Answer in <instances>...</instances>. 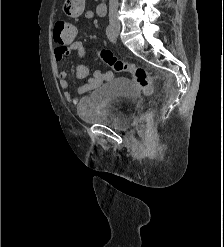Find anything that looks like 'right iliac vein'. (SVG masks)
Here are the masks:
<instances>
[{
  "label": "right iliac vein",
  "mask_w": 224,
  "mask_h": 247,
  "mask_svg": "<svg viewBox=\"0 0 224 247\" xmlns=\"http://www.w3.org/2000/svg\"><path fill=\"white\" fill-rule=\"evenodd\" d=\"M113 30L116 32V33H119L120 31V26L119 25H113Z\"/></svg>",
  "instance_id": "obj_1"
}]
</instances>
